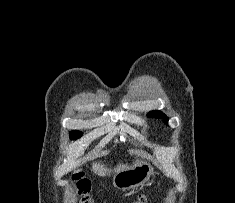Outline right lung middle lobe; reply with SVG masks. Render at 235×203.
Returning a JSON list of instances; mask_svg holds the SVG:
<instances>
[{
  "instance_id": "obj_1",
  "label": "right lung middle lobe",
  "mask_w": 235,
  "mask_h": 203,
  "mask_svg": "<svg viewBox=\"0 0 235 203\" xmlns=\"http://www.w3.org/2000/svg\"><path fill=\"white\" fill-rule=\"evenodd\" d=\"M81 136H82V132H80V131L75 130V131L70 132V139L71 140L78 139Z\"/></svg>"
}]
</instances>
